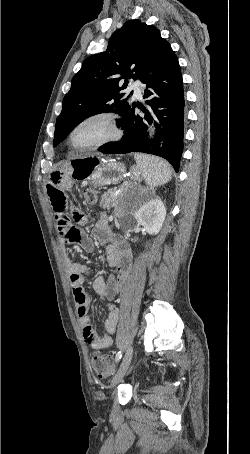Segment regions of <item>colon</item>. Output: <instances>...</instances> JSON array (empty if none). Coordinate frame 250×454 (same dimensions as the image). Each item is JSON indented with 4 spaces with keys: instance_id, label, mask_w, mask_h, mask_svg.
Segmentation results:
<instances>
[{
    "instance_id": "1",
    "label": "colon",
    "mask_w": 250,
    "mask_h": 454,
    "mask_svg": "<svg viewBox=\"0 0 250 454\" xmlns=\"http://www.w3.org/2000/svg\"><path fill=\"white\" fill-rule=\"evenodd\" d=\"M97 191L94 188L88 187L83 191V198L87 204H94L97 201ZM92 367L99 378L106 379L113 371L114 367L109 357L98 352L92 354Z\"/></svg>"
}]
</instances>
